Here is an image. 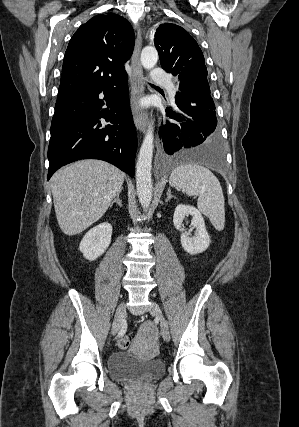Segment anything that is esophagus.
<instances>
[{"mask_svg": "<svg viewBox=\"0 0 299 427\" xmlns=\"http://www.w3.org/2000/svg\"><path fill=\"white\" fill-rule=\"evenodd\" d=\"M142 47V33L139 28L132 55V97L131 107L135 126L141 132H145L147 126V114L144 110L139 109L138 102L144 95L143 71L140 62V52Z\"/></svg>", "mask_w": 299, "mask_h": 427, "instance_id": "esophagus-1", "label": "esophagus"}]
</instances>
